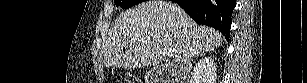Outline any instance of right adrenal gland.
<instances>
[{
	"label": "right adrenal gland",
	"instance_id": "2a0ac1e0",
	"mask_svg": "<svg viewBox=\"0 0 307 83\" xmlns=\"http://www.w3.org/2000/svg\"><path fill=\"white\" fill-rule=\"evenodd\" d=\"M204 55L205 53H200V54L195 55L194 57H199V56H204Z\"/></svg>",
	"mask_w": 307,
	"mask_h": 83
}]
</instances>
